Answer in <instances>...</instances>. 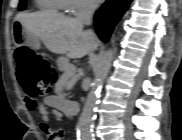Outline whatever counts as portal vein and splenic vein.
I'll use <instances>...</instances> for the list:
<instances>
[{
  "mask_svg": "<svg viewBox=\"0 0 182 140\" xmlns=\"http://www.w3.org/2000/svg\"><path fill=\"white\" fill-rule=\"evenodd\" d=\"M74 71H75V69H73V72L70 75H73L74 74Z\"/></svg>",
  "mask_w": 182,
  "mask_h": 140,
  "instance_id": "1",
  "label": "portal vein and splenic vein"
}]
</instances>
